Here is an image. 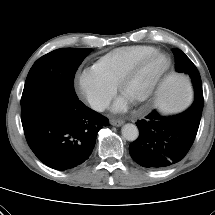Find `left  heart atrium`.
<instances>
[{
    "label": "left heart atrium",
    "mask_w": 215,
    "mask_h": 215,
    "mask_svg": "<svg viewBox=\"0 0 215 215\" xmlns=\"http://www.w3.org/2000/svg\"><path fill=\"white\" fill-rule=\"evenodd\" d=\"M130 100L124 95L121 96L114 104L113 110L116 112L125 111L128 108Z\"/></svg>",
    "instance_id": "obj_1"
}]
</instances>
